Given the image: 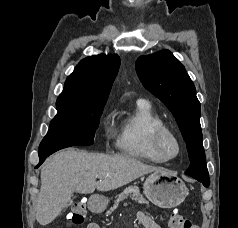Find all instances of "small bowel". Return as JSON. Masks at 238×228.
Instances as JSON below:
<instances>
[{
    "instance_id": "obj_1",
    "label": "small bowel",
    "mask_w": 238,
    "mask_h": 228,
    "mask_svg": "<svg viewBox=\"0 0 238 228\" xmlns=\"http://www.w3.org/2000/svg\"><path fill=\"white\" fill-rule=\"evenodd\" d=\"M137 219L143 228H160V226L149 215L142 212L137 214ZM86 228H101V226L97 222H90Z\"/></svg>"
}]
</instances>
